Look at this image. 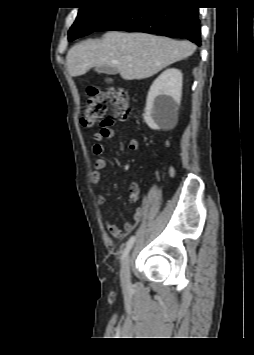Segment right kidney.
I'll return each mask as SVG.
<instances>
[{
	"label": "right kidney",
	"mask_w": 254,
	"mask_h": 355,
	"mask_svg": "<svg viewBox=\"0 0 254 355\" xmlns=\"http://www.w3.org/2000/svg\"><path fill=\"white\" fill-rule=\"evenodd\" d=\"M182 94V73L167 69L153 82L147 95L144 121L153 130L172 127Z\"/></svg>",
	"instance_id": "obj_1"
}]
</instances>
